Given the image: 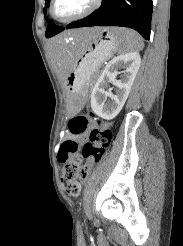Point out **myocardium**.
<instances>
[{
    "label": "myocardium",
    "mask_w": 183,
    "mask_h": 246,
    "mask_svg": "<svg viewBox=\"0 0 183 246\" xmlns=\"http://www.w3.org/2000/svg\"><path fill=\"white\" fill-rule=\"evenodd\" d=\"M56 0H51L50 1V5H49V14L51 16V18L57 22L60 23H69V22H73L79 19H82L88 15H90L92 12H94L99 5L101 4L102 0H91L90 4L80 13L64 18V19H59L55 16L54 14V5H55Z\"/></svg>",
    "instance_id": "f54148a6"
}]
</instances>
